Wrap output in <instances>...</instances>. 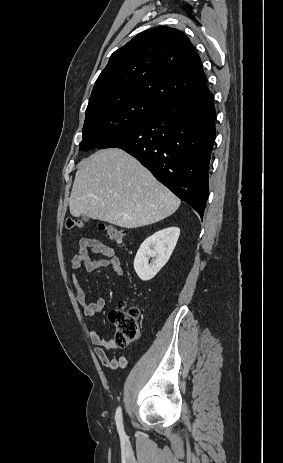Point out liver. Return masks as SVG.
<instances>
[{
  "mask_svg": "<svg viewBox=\"0 0 283 463\" xmlns=\"http://www.w3.org/2000/svg\"><path fill=\"white\" fill-rule=\"evenodd\" d=\"M180 203L137 159L110 148L79 163L69 209L74 217L86 215L131 229L167 218Z\"/></svg>",
  "mask_w": 283,
  "mask_h": 463,
  "instance_id": "6515ba94",
  "label": "liver"
}]
</instances>
